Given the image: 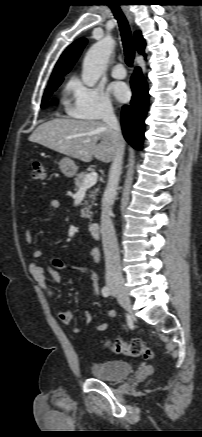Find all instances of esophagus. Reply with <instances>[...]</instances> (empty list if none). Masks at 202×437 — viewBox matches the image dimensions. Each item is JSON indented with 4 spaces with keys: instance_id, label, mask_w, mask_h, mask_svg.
I'll use <instances>...</instances> for the list:
<instances>
[{
    "instance_id": "1",
    "label": "esophagus",
    "mask_w": 202,
    "mask_h": 437,
    "mask_svg": "<svg viewBox=\"0 0 202 437\" xmlns=\"http://www.w3.org/2000/svg\"><path fill=\"white\" fill-rule=\"evenodd\" d=\"M124 11H125V13H126L128 19L130 20V22H132V16H131L130 12L128 11V9H127V8H124Z\"/></svg>"
}]
</instances>
